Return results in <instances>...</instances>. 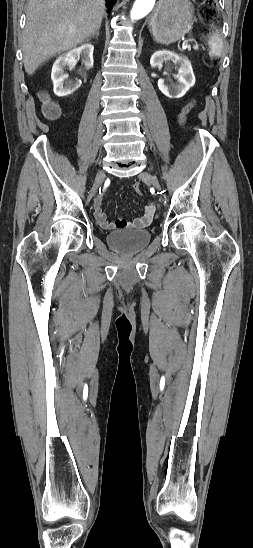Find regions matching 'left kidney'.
Here are the masks:
<instances>
[{"instance_id":"1","label":"left kidney","mask_w":253,"mask_h":548,"mask_svg":"<svg viewBox=\"0 0 253 548\" xmlns=\"http://www.w3.org/2000/svg\"><path fill=\"white\" fill-rule=\"evenodd\" d=\"M171 60L179 65L177 84H168L164 79L158 80L159 90L169 98H180L195 84V76L190 61L185 56H179L170 51H157L150 59L152 68L162 67L163 62Z\"/></svg>"}]
</instances>
